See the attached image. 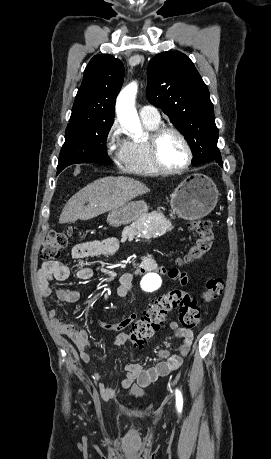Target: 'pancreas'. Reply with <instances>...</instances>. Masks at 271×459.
I'll list each match as a JSON object with an SVG mask.
<instances>
[{
	"instance_id": "1",
	"label": "pancreas",
	"mask_w": 271,
	"mask_h": 459,
	"mask_svg": "<svg viewBox=\"0 0 271 459\" xmlns=\"http://www.w3.org/2000/svg\"><path fill=\"white\" fill-rule=\"evenodd\" d=\"M141 230H135L137 228L136 222L131 224V226H126L122 231V239L132 235L135 239L142 238H152L155 239L161 233H166V231L172 230L173 226L164 218V216H157L153 220L143 219L141 221Z\"/></svg>"
}]
</instances>
